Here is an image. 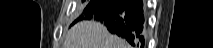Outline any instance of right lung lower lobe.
Here are the masks:
<instances>
[{"mask_svg": "<svg viewBox=\"0 0 213 48\" xmlns=\"http://www.w3.org/2000/svg\"><path fill=\"white\" fill-rule=\"evenodd\" d=\"M141 0H91L79 20L94 19L108 31L126 39L132 46L143 45V9Z\"/></svg>", "mask_w": 213, "mask_h": 48, "instance_id": "98d812e1", "label": "right lung lower lobe"}]
</instances>
